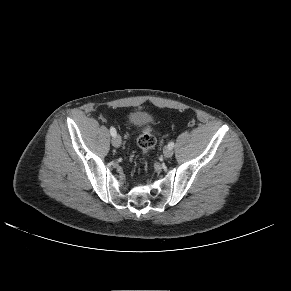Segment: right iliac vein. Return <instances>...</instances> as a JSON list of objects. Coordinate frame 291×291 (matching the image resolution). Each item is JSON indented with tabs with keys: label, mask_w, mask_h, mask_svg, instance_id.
I'll use <instances>...</instances> for the list:
<instances>
[{
	"label": "right iliac vein",
	"mask_w": 291,
	"mask_h": 291,
	"mask_svg": "<svg viewBox=\"0 0 291 291\" xmlns=\"http://www.w3.org/2000/svg\"><path fill=\"white\" fill-rule=\"evenodd\" d=\"M112 145L114 147H120V145H121V137H120V135H116V136H114L112 138Z\"/></svg>",
	"instance_id": "obj_1"
}]
</instances>
